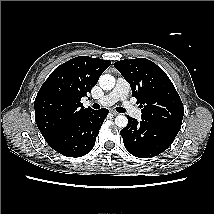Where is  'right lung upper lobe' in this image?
<instances>
[{
	"label": "right lung upper lobe",
	"mask_w": 214,
	"mask_h": 214,
	"mask_svg": "<svg viewBox=\"0 0 214 214\" xmlns=\"http://www.w3.org/2000/svg\"><path fill=\"white\" fill-rule=\"evenodd\" d=\"M110 64V60L79 56L50 74L34 102L35 120L45 140L92 110L83 107L80 99L87 96Z\"/></svg>",
	"instance_id": "right-lung-upper-lobe-1"
}]
</instances>
